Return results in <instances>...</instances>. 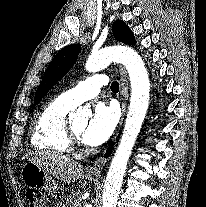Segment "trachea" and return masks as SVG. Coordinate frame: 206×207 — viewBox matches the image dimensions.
<instances>
[{
  "mask_svg": "<svg viewBox=\"0 0 206 207\" xmlns=\"http://www.w3.org/2000/svg\"><path fill=\"white\" fill-rule=\"evenodd\" d=\"M111 90H112V92H118L119 91V83L117 81H114L111 84Z\"/></svg>",
  "mask_w": 206,
  "mask_h": 207,
  "instance_id": "obj_1",
  "label": "trachea"
}]
</instances>
